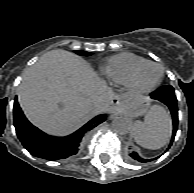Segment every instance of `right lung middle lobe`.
<instances>
[{
  "label": "right lung middle lobe",
  "instance_id": "dd1d6c3e",
  "mask_svg": "<svg viewBox=\"0 0 194 193\" xmlns=\"http://www.w3.org/2000/svg\"><path fill=\"white\" fill-rule=\"evenodd\" d=\"M77 54H79V55H84V56H89V55H91V53L90 52H86V51H75Z\"/></svg>",
  "mask_w": 194,
  "mask_h": 193
}]
</instances>
